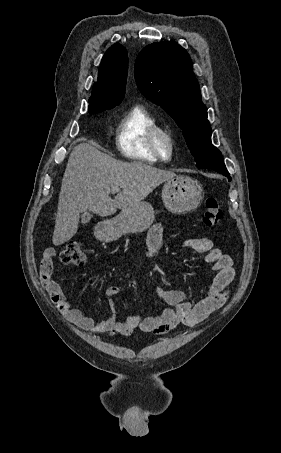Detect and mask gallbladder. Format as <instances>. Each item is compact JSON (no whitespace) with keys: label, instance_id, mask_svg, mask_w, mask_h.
Returning a JSON list of instances; mask_svg holds the SVG:
<instances>
[{"label":"gallbladder","instance_id":"bac80fb5","mask_svg":"<svg viewBox=\"0 0 281 453\" xmlns=\"http://www.w3.org/2000/svg\"><path fill=\"white\" fill-rule=\"evenodd\" d=\"M91 216L92 214H89V212H84V214H82V223L85 225L87 222H89Z\"/></svg>","mask_w":281,"mask_h":453}]
</instances>
